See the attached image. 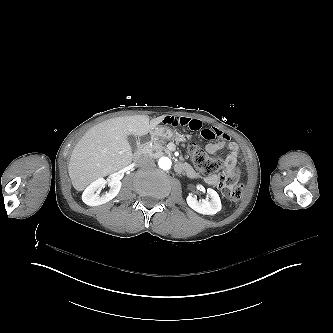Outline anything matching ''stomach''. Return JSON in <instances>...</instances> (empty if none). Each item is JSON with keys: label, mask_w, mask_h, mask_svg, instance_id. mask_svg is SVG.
I'll use <instances>...</instances> for the list:
<instances>
[{"label": "stomach", "mask_w": 333, "mask_h": 333, "mask_svg": "<svg viewBox=\"0 0 333 333\" xmlns=\"http://www.w3.org/2000/svg\"><path fill=\"white\" fill-rule=\"evenodd\" d=\"M145 140L142 144L150 143L157 139L169 140L173 139L174 141L181 140L187 144H192L194 142V137L190 133L173 132V130L168 126L158 125L150 130L146 135H144Z\"/></svg>", "instance_id": "0dacf381"}]
</instances>
